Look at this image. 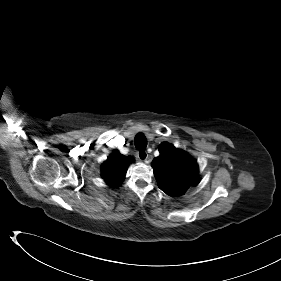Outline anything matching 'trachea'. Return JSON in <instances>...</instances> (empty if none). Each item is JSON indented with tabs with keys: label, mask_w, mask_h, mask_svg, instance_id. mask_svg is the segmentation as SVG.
<instances>
[{
	"label": "trachea",
	"mask_w": 281,
	"mask_h": 281,
	"mask_svg": "<svg viewBox=\"0 0 281 281\" xmlns=\"http://www.w3.org/2000/svg\"><path fill=\"white\" fill-rule=\"evenodd\" d=\"M134 144L137 149H145L147 146V139L142 133H138L134 139Z\"/></svg>",
	"instance_id": "3493384b"
}]
</instances>
